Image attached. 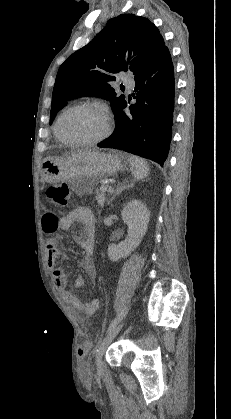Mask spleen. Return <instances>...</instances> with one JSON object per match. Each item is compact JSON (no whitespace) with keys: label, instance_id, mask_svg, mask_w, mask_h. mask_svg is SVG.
Instances as JSON below:
<instances>
[{"label":"spleen","instance_id":"spleen-1","mask_svg":"<svg viewBox=\"0 0 231 419\" xmlns=\"http://www.w3.org/2000/svg\"><path fill=\"white\" fill-rule=\"evenodd\" d=\"M130 169L136 180H142L149 174L150 168L147 162L137 156H129Z\"/></svg>","mask_w":231,"mask_h":419}]
</instances>
